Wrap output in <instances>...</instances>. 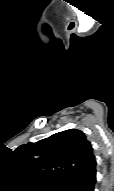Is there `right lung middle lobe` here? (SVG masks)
I'll list each match as a JSON object with an SVG mask.
<instances>
[{
  "mask_svg": "<svg viewBox=\"0 0 114 191\" xmlns=\"http://www.w3.org/2000/svg\"><path fill=\"white\" fill-rule=\"evenodd\" d=\"M49 190L56 191L57 189H49Z\"/></svg>",
  "mask_w": 114,
  "mask_h": 191,
  "instance_id": "dd1d6c3e",
  "label": "right lung middle lobe"
}]
</instances>
